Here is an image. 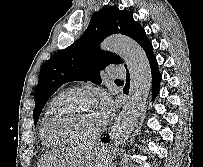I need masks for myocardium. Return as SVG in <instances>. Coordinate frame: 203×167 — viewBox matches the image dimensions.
<instances>
[{"mask_svg": "<svg viewBox=\"0 0 203 167\" xmlns=\"http://www.w3.org/2000/svg\"><path fill=\"white\" fill-rule=\"evenodd\" d=\"M82 97H89V94L85 91H74L50 113L46 120V130L49 135L64 143L83 144L96 140L103 133L105 128L104 124L97 132L86 137L69 136L56 128L55 124L57 120L63 116L79 98Z\"/></svg>", "mask_w": 203, "mask_h": 167, "instance_id": "myocardium-1", "label": "myocardium"}]
</instances>
